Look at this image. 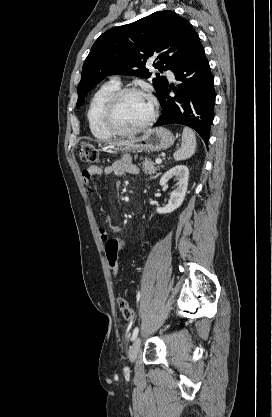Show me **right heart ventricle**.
Returning a JSON list of instances; mask_svg holds the SVG:
<instances>
[{
  "instance_id": "obj_1",
  "label": "right heart ventricle",
  "mask_w": 272,
  "mask_h": 417,
  "mask_svg": "<svg viewBox=\"0 0 272 417\" xmlns=\"http://www.w3.org/2000/svg\"><path fill=\"white\" fill-rule=\"evenodd\" d=\"M121 84L117 80H110L102 84L92 95L88 110L87 119L92 134L98 139H109L112 134L104 127L103 111L108 99L119 89Z\"/></svg>"
}]
</instances>
